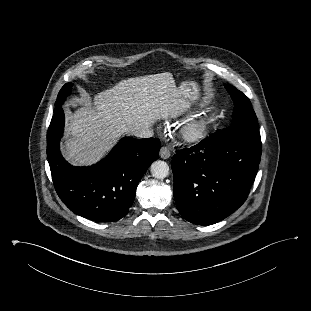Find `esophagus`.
Masks as SVG:
<instances>
[{
    "label": "esophagus",
    "instance_id": "1",
    "mask_svg": "<svg viewBox=\"0 0 311 311\" xmlns=\"http://www.w3.org/2000/svg\"><path fill=\"white\" fill-rule=\"evenodd\" d=\"M159 155L162 159H168L170 157L171 153L167 147L163 146L160 149Z\"/></svg>",
    "mask_w": 311,
    "mask_h": 311
}]
</instances>
